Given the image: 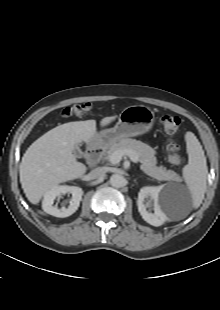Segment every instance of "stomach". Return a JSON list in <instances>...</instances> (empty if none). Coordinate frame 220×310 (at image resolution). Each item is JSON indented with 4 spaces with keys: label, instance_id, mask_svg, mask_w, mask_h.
<instances>
[{
    "label": "stomach",
    "instance_id": "obj_1",
    "mask_svg": "<svg viewBox=\"0 0 220 310\" xmlns=\"http://www.w3.org/2000/svg\"><path fill=\"white\" fill-rule=\"evenodd\" d=\"M154 117L152 110L146 106L126 107L119 115L116 125L96 134L94 141L108 146L127 137L142 135L152 128Z\"/></svg>",
    "mask_w": 220,
    "mask_h": 310
}]
</instances>
